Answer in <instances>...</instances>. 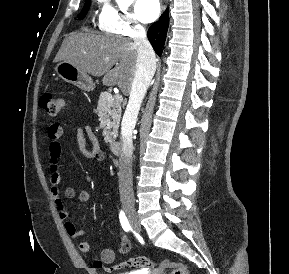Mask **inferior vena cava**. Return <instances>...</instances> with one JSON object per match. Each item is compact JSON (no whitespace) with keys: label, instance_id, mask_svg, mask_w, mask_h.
Masks as SVG:
<instances>
[{"label":"inferior vena cava","instance_id":"obj_1","mask_svg":"<svg viewBox=\"0 0 289 274\" xmlns=\"http://www.w3.org/2000/svg\"><path fill=\"white\" fill-rule=\"evenodd\" d=\"M137 46L136 71L132 82L128 105L121 123V151L119 157V191L120 195H131L132 183V132L138 112L156 70V57L144 27L138 26L134 37Z\"/></svg>","mask_w":289,"mask_h":274}]
</instances>
